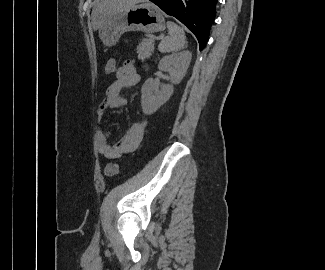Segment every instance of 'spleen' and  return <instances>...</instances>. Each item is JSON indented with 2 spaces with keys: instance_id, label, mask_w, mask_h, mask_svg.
I'll list each match as a JSON object with an SVG mask.
<instances>
[{
  "instance_id": "1",
  "label": "spleen",
  "mask_w": 325,
  "mask_h": 270,
  "mask_svg": "<svg viewBox=\"0 0 325 270\" xmlns=\"http://www.w3.org/2000/svg\"><path fill=\"white\" fill-rule=\"evenodd\" d=\"M168 36H166L159 44L158 49L162 53L179 51L184 48L186 36L183 28L177 24L168 21Z\"/></svg>"
}]
</instances>
